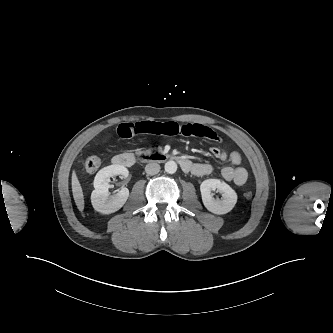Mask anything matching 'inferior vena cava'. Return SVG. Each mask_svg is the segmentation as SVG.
Returning <instances> with one entry per match:
<instances>
[{
    "label": "inferior vena cava",
    "mask_w": 333,
    "mask_h": 333,
    "mask_svg": "<svg viewBox=\"0 0 333 333\" xmlns=\"http://www.w3.org/2000/svg\"><path fill=\"white\" fill-rule=\"evenodd\" d=\"M145 171L148 175H155L160 171V165L158 163H149L146 165Z\"/></svg>",
    "instance_id": "602c4592"
}]
</instances>
